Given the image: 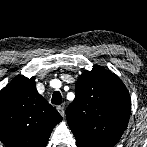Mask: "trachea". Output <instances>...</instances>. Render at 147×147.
I'll use <instances>...</instances> for the list:
<instances>
[{
	"instance_id": "obj_1",
	"label": "trachea",
	"mask_w": 147,
	"mask_h": 147,
	"mask_svg": "<svg viewBox=\"0 0 147 147\" xmlns=\"http://www.w3.org/2000/svg\"><path fill=\"white\" fill-rule=\"evenodd\" d=\"M51 103L55 105H60L62 103V96L59 91L53 93Z\"/></svg>"
}]
</instances>
